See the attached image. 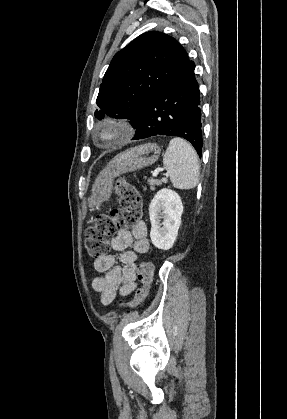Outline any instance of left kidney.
Wrapping results in <instances>:
<instances>
[{
    "mask_svg": "<svg viewBox=\"0 0 287 419\" xmlns=\"http://www.w3.org/2000/svg\"><path fill=\"white\" fill-rule=\"evenodd\" d=\"M182 213V201L175 191L163 188L156 193L149 206L150 238L156 248L169 250L173 246Z\"/></svg>",
    "mask_w": 287,
    "mask_h": 419,
    "instance_id": "left-kidney-1",
    "label": "left kidney"
}]
</instances>
